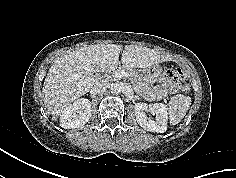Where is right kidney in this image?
Instances as JSON below:
<instances>
[{"mask_svg":"<svg viewBox=\"0 0 236 178\" xmlns=\"http://www.w3.org/2000/svg\"><path fill=\"white\" fill-rule=\"evenodd\" d=\"M91 116V102L81 98L74 101L62 112L60 126L65 129L79 128L85 125Z\"/></svg>","mask_w":236,"mask_h":178,"instance_id":"obj_1","label":"right kidney"}]
</instances>
